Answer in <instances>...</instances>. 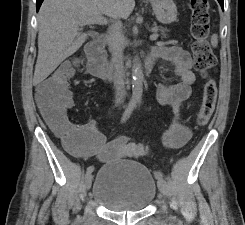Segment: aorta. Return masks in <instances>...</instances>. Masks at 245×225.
Returning <instances> with one entry per match:
<instances>
[{
  "label": "aorta",
  "instance_id": "1",
  "mask_svg": "<svg viewBox=\"0 0 245 225\" xmlns=\"http://www.w3.org/2000/svg\"><path fill=\"white\" fill-rule=\"evenodd\" d=\"M143 93V72L141 63L135 60L132 66V101L140 102Z\"/></svg>",
  "mask_w": 245,
  "mask_h": 225
}]
</instances>
